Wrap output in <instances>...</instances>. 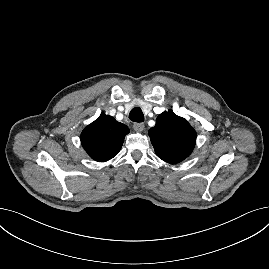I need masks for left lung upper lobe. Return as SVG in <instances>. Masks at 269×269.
Returning a JSON list of instances; mask_svg holds the SVG:
<instances>
[{"mask_svg": "<svg viewBox=\"0 0 269 269\" xmlns=\"http://www.w3.org/2000/svg\"><path fill=\"white\" fill-rule=\"evenodd\" d=\"M156 155L163 161L176 164L187 158L196 142V132L182 117L171 110L161 113L156 125L148 132Z\"/></svg>", "mask_w": 269, "mask_h": 269, "instance_id": "left-lung-upper-lobe-1", "label": "left lung upper lobe"}]
</instances>
